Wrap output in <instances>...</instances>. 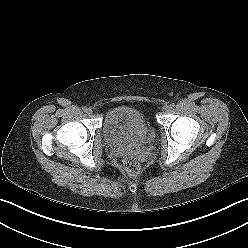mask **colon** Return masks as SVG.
Masks as SVG:
<instances>
[{
  "mask_svg": "<svg viewBox=\"0 0 248 248\" xmlns=\"http://www.w3.org/2000/svg\"><path fill=\"white\" fill-rule=\"evenodd\" d=\"M122 164L124 173L130 177H134L140 172V163L133 154H125Z\"/></svg>",
  "mask_w": 248,
  "mask_h": 248,
  "instance_id": "5ec220e1",
  "label": "colon"
}]
</instances>
